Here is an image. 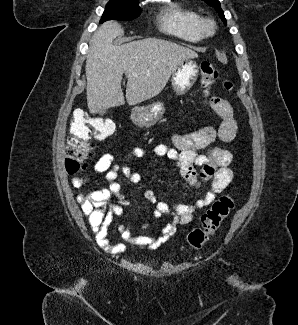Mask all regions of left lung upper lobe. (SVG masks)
I'll list each match as a JSON object with an SVG mask.
<instances>
[{
	"mask_svg": "<svg viewBox=\"0 0 298 325\" xmlns=\"http://www.w3.org/2000/svg\"><path fill=\"white\" fill-rule=\"evenodd\" d=\"M208 5L214 7L216 11L219 13L220 18L226 24V19L224 17V13L221 9L220 2L218 0H204Z\"/></svg>",
	"mask_w": 298,
	"mask_h": 325,
	"instance_id": "1",
	"label": "left lung upper lobe"
}]
</instances>
